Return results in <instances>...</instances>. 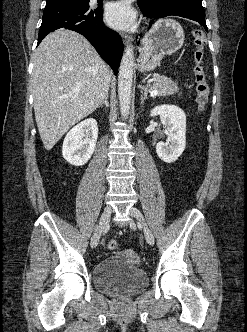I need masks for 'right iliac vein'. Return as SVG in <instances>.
Segmentation results:
<instances>
[{"instance_id": "obj_1", "label": "right iliac vein", "mask_w": 247, "mask_h": 332, "mask_svg": "<svg viewBox=\"0 0 247 332\" xmlns=\"http://www.w3.org/2000/svg\"><path fill=\"white\" fill-rule=\"evenodd\" d=\"M111 213H112L111 207L106 206L104 208L103 213L100 218L99 228H98L97 232L91 238V247L92 248H95L98 245L101 233L106 228V226L109 222V219L111 217Z\"/></svg>"}]
</instances>
